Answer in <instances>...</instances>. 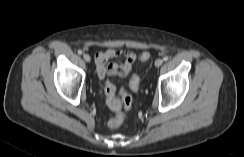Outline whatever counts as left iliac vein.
<instances>
[{"label":"left iliac vein","mask_w":244,"mask_h":157,"mask_svg":"<svg viewBox=\"0 0 244 157\" xmlns=\"http://www.w3.org/2000/svg\"><path fill=\"white\" fill-rule=\"evenodd\" d=\"M162 63H163L162 59H157V60L155 61V66H156V67H160V66L162 65Z\"/></svg>","instance_id":"obj_1"}]
</instances>
